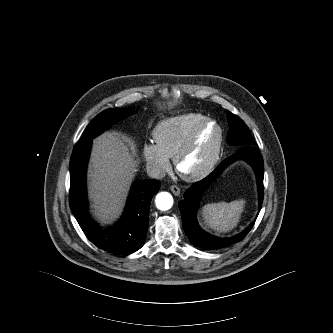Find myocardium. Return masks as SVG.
<instances>
[{
	"label": "myocardium",
	"instance_id": "1",
	"mask_svg": "<svg viewBox=\"0 0 333 333\" xmlns=\"http://www.w3.org/2000/svg\"><path fill=\"white\" fill-rule=\"evenodd\" d=\"M210 125H214L218 132L217 140L211 156L200 169L194 172L184 171L182 168L183 162L195 147L201 132ZM223 141H224V132L221 125L213 119H206L204 122H202L200 125H198L195 128L189 139L186 141V143L182 146V148L177 152L176 156L174 157V164L177 173L184 180L189 182L198 181L208 176L213 171V169L215 168L220 159Z\"/></svg>",
	"mask_w": 333,
	"mask_h": 333
}]
</instances>
